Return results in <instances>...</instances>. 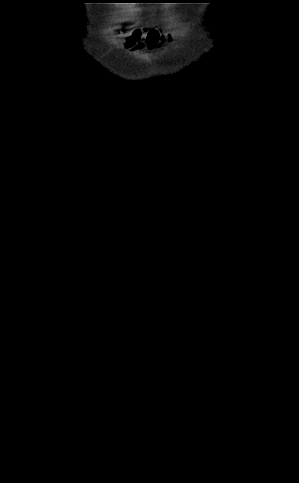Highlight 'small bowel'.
Segmentation results:
<instances>
[{"label": "small bowel", "mask_w": 299, "mask_h": 483, "mask_svg": "<svg viewBox=\"0 0 299 483\" xmlns=\"http://www.w3.org/2000/svg\"><path fill=\"white\" fill-rule=\"evenodd\" d=\"M125 43L132 49L152 50L164 42L166 36L158 28L129 27L124 29Z\"/></svg>", "instance_id": "1"}]
</instances>
